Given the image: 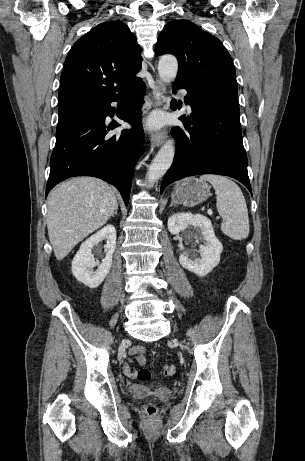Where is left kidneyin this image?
<instances>
[{
  "mask_svg": "<svg viewBox=\"0 0 305 461\" xmlns=\"http://www.w3.org/2000/svg\"><path fill=\"white\" fill-rule=\"evenodd\" d=\"M188 228L196 229L205 240V245L199 247L200 258L194 257L192 251L180 247L182 252L179 262L183 268L203 277L219 264L223 246L215 236L211 221L201 214L177 213L168 219V230L173 235L185 232Z\"/></svg>",
  "mask_w": 305,
  "mask_h": 461,
  "instance_id": "left-kidney-1",
  "label": "left kidney"
}]
</instances>
